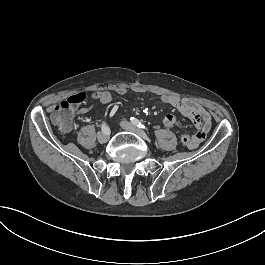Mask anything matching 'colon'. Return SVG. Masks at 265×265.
Instances as JSON below:
<instances>
[{
	"label": "colon",
	"instance_id": "obj_1",
	"mask_svg": "<svg viewBox=\"0 0 265 265\" xmlns=\"http://www.w3.org/2000/svg\"><path fill=\"white\" fill-rule=\"evenodd\" d=\"M92 98L100 99L101 95L99 93H93ZM87 96L84 93H79L70 95L67 101L60 103L53 112L52 119L55 123L59 124L62 128H69L71 115L68 113V109L75 106L78 101L84 102ZM182 143L190 148V134L183 135L181 138Z\"/></svg>",
	"mask_w": 265,
	"mask_h": 265
}]
</instances>
